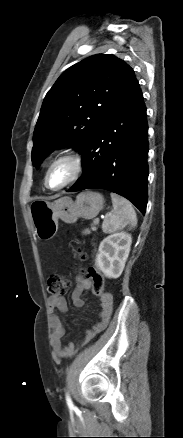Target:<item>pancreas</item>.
Wrapping results in <instances>:
<instances>
[{
	"label": "pancreas",
	"instance_id": "pancreas-1",
	"mask_svg": "<svg viewBox=\"0 0 183 438\" xmlns=\"http://www.w3.org/2000/svg\"><path fill=\"white\" fill-rule=\"evenodd\" d=\"M97 224H98V222L96 220H94L93 224H92V227H91L92 231H96L97 230V228L95 227V225H97ZM83 234H90V230H88V229L84 230Z\"/></svg>",
	"mask_w": 183,
	"mask_h": 438
}]
</instances>
